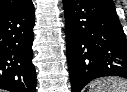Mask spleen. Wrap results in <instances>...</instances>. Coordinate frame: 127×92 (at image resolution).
Here are the masks:
<instances>
[{"label":"spleen","mask_w":127,"mask_h":92,"mask_svg":"<svg viewBox=\"0 0 127 92\" xmlns=\"http://www.w3.org/2000/svg\"><path fill=\"white\" fill-rule=\"evenodd\" d=\"M89 92H127V80L118 77L98 79L90 84Z\"/></svg>","instance_id":"3e777b00"}]
</instances>
